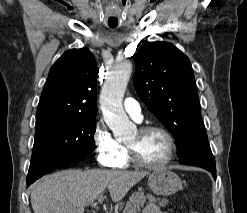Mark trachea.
<instances>
[{"instance_id": "obj_1", "label": "trachea", "mask_w": 247, "mask_h": 213, "mask_svg": "<svg viewBox=\"0 0 247 213\" xmlns=\"http://www.w3.org/2000/svg\"><path fill=\"white\" fill-rule=\"evenodd\" d=\"M111 28H115L116 26H110Z\"/></svg>"}]
</instances>
